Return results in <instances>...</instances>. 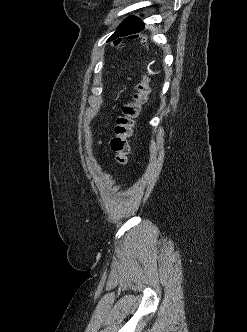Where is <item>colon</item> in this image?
I'll return each instance as SVG.
<instances>
[{"label": "colon", "instance_id": "obj_1", "mask_svg": "<svg viewBox=\"0 0 247 332\" xmlns=\"http://www.w3.org/2000/svg\"><path fill=\"white\" fill-rule=\"evenodd\" d=\"M131 37L141 38L145 51H148L149 45L146 36L135 33ZM150 93V77L148 72H144L135 86L132 100L123 106L121 115L116 119L114 136L110 141L115 162L119 166H125L128 163L130 153L128 140L132 135L135 119L138 117L141 108L148 102Z\"/></svg>", "mask_w": 247, "mask_h": 332}]
</instances>
